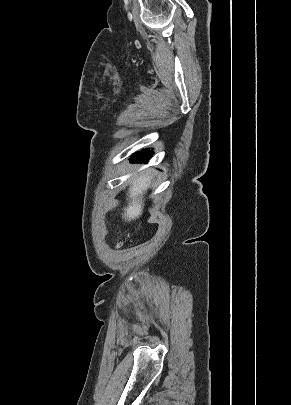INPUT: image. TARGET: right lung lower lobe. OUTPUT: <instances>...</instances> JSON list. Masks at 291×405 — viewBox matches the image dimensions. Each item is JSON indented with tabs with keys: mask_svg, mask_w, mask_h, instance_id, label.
Segmentation results:
<instances>
[{
	"mask_svg": "<svg viewBox=\"0 0 291 405\" xmlns=\"http://www.w3.org/2000/svg\"><path fill=\"white\" fill-rule=\"evenodd\" d=\"M153 155L152 151L143 150L141 152H137L135 156L132 158V161L135 162H146L149 160V157Z\"/></svg>",
	"mask_w": 291,
	"mask_h": 405,
	"instance_id": "98d812e1",
	"label": "right lung lower lobe"
}]
</instances>
